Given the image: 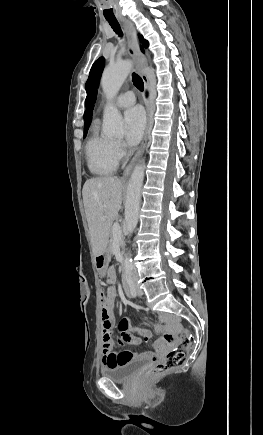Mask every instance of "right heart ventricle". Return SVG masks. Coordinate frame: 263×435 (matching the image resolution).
I'll use <instances>...</instances> for the list:
<instances>
[{
  "instance_id": "1",
  "label": "right heart ventricle",
  "mask_w": 263,
  "mask_h": 435,
  "mask_svg": "<svg viewBox=\"0 0 263 435\" xmlns=\"http://www.w3.org/2000/svg\"><path fill=\"white\" fill-rule=\"evenodd\" d=\"M114 141L100 132L99 120L93 122L85 154L89 171L96 176L113 174L118 166Z\"/></svg>"
}]
</instances>
